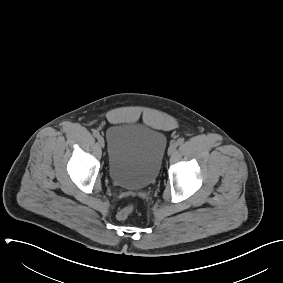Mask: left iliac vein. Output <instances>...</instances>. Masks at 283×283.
Returning a JSON list of instances; mask_svg holds the SVG:
<instances>
[{
    "instance_id": "4c4485c4",
    "label": "left iliac vein",
    "mask_w": 283,
    "mask_h": 283,
    "mask_svg": "<svg viewBox=\"0 0 283 283\" xmlns=\"http://www.w3.org/2000/svg\"><path fill=\"white\" fill-rule=\"evenodd\" d=\"M178 144L177 142H172L168 148V155H172L174 154V152L176 151Z\"/></svg>"
}]
</instances>
